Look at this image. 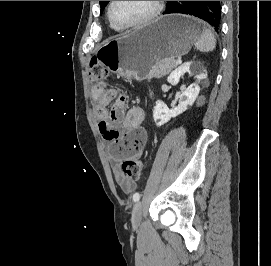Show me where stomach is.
<instances>
[{
	"mask_svg": "<svg viewBox=\"0 0 271 266\" xmlns=\"http://www.w3.org/2000/svg\"><path fill=\"white\" fill-rule=\"evenodd\" d=\"M202 34L201 22L184 15L161 16L119 38L106 41L97 58L110 72L143 81L156 62L187 54Z\"/></svg>",
	"mask_w": 271,
	"mask_h": 266,
	"instance_id": "0dacf381",
	"label": "stomach"
}]
</instances>
